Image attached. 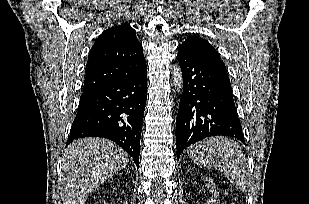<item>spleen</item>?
I'll list each match as a JSON object with an SVG mask.
<instances>
[{
	"instance_id": "3e777b00",
	"label": "spleen",
	"mask_w": 309,
	"mask_h": 204,
	"mask_svg": "<svg viewBox=\"0 0 309 204\" xmlns=\"http://www.w3.org/2000/svg\"><path fill=\"white\" fill-rule=\"evenodd\" d=\"M188 156L197 165L221 171L239 191L247 192L250 174L241 147L225 137H211L189 147Z\"/></svg>"
}]
</instances>
